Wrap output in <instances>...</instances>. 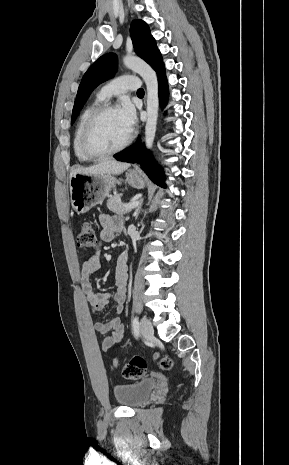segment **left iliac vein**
<instances>
[{
	"instance_id": "obj_1",
	"label": "left iliac vein",
	"mask_w": 289,
	"mask_h": 465,
	"mask_svg": "<svg viewBox=\"0 0 289 465\" xmlns=\"http://www.w3.org/2000/svg\"><path fill=\"white\" fill-rule=\"evenodd\" d=\"M140 330L142 335L147 339L151 338L154 334L153 326L146 317L141 319Z\"/></svg>"
}]
</instances>
